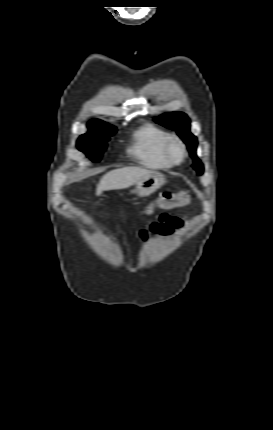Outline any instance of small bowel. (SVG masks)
<instances>
[{"instance_id": "obj_1", "label": "small bowel", "mask_w": 273, "mask_h": 430, "mask_svg": "<svg viewBox=\"0 0 273 430\" xmlns=\"http://www.w3.org/2000/svg\"><path fill=\"white\" fill-rule=\"evenodd\" d=\"M181 227L182 222L177 218L162 216L158 221L151 223L148 230L142 229L139 232V238L143 243H147L150 239L160 241L163 237L173 235Z\"/></svg>"}]
</instances>
